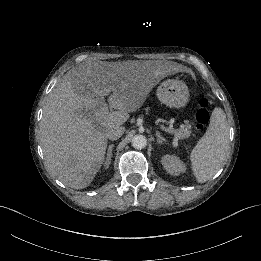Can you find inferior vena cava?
<instances>
[{"mask_svg": "<svg viewBox=\"0 0 261 261\" xmlns=\"http://www.w3.org/2000/svg\"><path fill=\"white\" fill-rule=\"evenodd\" d=\"M125 132V127L119 126L114 127L107 132V137L110 140H117L119 139Z\"/></svg>", "mask_w": 261, "mask_h": 261, "instance_id": "obj_1", "label": "inferior vena cava"}]
</instances>
